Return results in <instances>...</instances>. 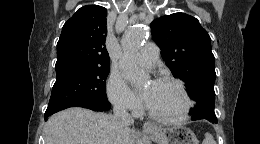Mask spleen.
I'll return each instance as SVG.
<instances>
[{"label":"spleen","instance_id":"3e777b00","mask_svg":"<svg viewBox=\"0 0 260 144\" xmlns=\"http://www.w3.org/2000/svg\"><path fill=\"white\" fill-rule=\"evenodd\" d=\"M203 144H216L213 136L210 133H205V139L203 141Z\"/></svg>","mask_w":260,"mask_h":144}]
</instances>
